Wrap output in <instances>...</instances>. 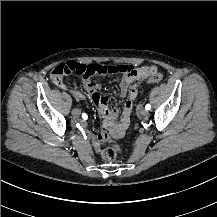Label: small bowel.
Listing matches in <instances>:
<instances>
[{"mask_svg":"<svg viewBox=\"0 0 217 217\" xmlns=\"http://www.w3.org/2000/svg\"><path fill=\"white\" fill-rule=\"evenodd\" d=\"M148 78V76L133 77L129 74H125L123 76L120 83V95L121 97H128V99L123 107L120 120L117 122L116 119L119 115L118 111L115 107H109L107 98L101 94L100 79L93 77H84L82 80V85L84 89L89 93L93 104L98 107V117L103 120L108 134H113L114 137L117 138L122 136L123 131L129 126L134 101L138 96L136 85L131 86V84L135 81H143ZM53 83L54 85L59 86L61 89H66L65 84L59 77L54 78ZM71 93L76 98H82V94L78 91H71ZM83 126H85V124H83ZM87 135L92 136L89 131H87ZM97 138L98 137L93 139L92 146L97 154H101V151L99 150L100 143L98 142Z\"/></svg>","mask_w":217,"mask_h":217,"instance_id":"small-bowel-1","label":"small bowel"}]
</instances>
